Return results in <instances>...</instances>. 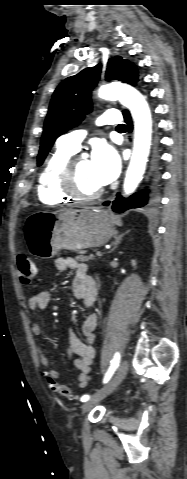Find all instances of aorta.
<instances>
[{
	"label": "aorta",
	"mask_w": 187,
	"mask_h": 479,
	"mask_svg": "<svg viewBox=\"0 0 187 479\" xmlns=\"http://www.w3.org/2000/svg\"><path fill=\"white\" fill-rule=\"evenodd\" d=\"M98 96L105 100H119L129 108L135 122L133 153L124 180V192L130 195L142 179L150 151L152 133L150 109L144 97L128 85H104L100 87Z\"/></svg>",
	"instance_id": "1"
}]
</instances>
